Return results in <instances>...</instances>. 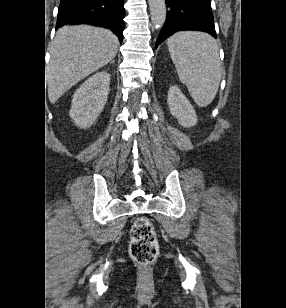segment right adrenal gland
Here are the masks:
<instances>
[{
	"instance_id": "1",
	"label": "right adrenal gland",
	"mask_w": 286,
	"mask_h": 308,
	"mask_svg": "<svg viewBox=\"0 0 286 308\" xmlns=\"http://www.w3.org/2000/svg\"><path fill=\"white\" fill-rule=\"evenodd\" d=\"M111 63H113V64H114V63H115V60L111 61Z\"/></svg>"
}]
</instances>
